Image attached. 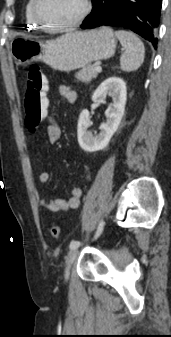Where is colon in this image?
Returning <instances> with one entry per match:
<instances>
[{"label":"colon","mask_w":171,"mask_h":337,"mask_svg":"<svg viewBox=\"0 0 171 337\" xmlns=\"http://www.w3.org/2000/svg\"><path fill=\"white\" fill-rule=\"evenodd\" d=\"M46 78L40 66L33 64L28 69L27 88L25 93L24 107L26 112V127L33 131L39 125L43 116H48L49 95L46 91ZM53 238L61 237V228L52 224L49 228Z\"/></svg>","instance_id":"colon-1"}]
</instances>
